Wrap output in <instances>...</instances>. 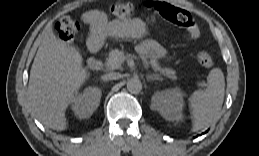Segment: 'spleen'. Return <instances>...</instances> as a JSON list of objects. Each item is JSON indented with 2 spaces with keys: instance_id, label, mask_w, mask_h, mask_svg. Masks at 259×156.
<instances>
[{
  "instance_id": "3e777b00",
  "label": "spleen",
  "mask_w": 259,
  "mask_h": 156,
  "mask_svg": "<svg viewBox=\"0 0 259 156\" xmlns=\"http://www.w3.org/2000/svg\"><path fill=\"white\" fill-rule=\"evenodd\" d=\"M225 94V78L220 68H213L207 76V87L195 91L188 99L192 130L208 126L219 114Z\"/></svg>"
}]
</instances>
